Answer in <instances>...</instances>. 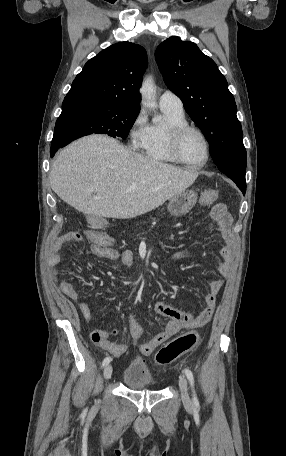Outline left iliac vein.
<instances>
[{
  "label": "left iliac vein",
  "instance_id": "obj_1",
  "mask_svg": "<svg viewBox=\"0 0 286 456\" xmlns=\"http://www.w3.org/2000/svg\"><path fill=\"white\" fill-rule=\"evenodd\" d=\"M179 387L182 394V400L186 408L191 409L193 407L192 401L188 394V383L185 377L179 378Z\"/></svg>",
  "mask_w": 286,
  "mask_h": 456
}]
</instances>
